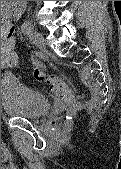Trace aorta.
Listing matches in <instances>:
<instances>
[{
  "mask_svg": "<svg viewBox=\"0 0 121 169\" xmlns=\"http://www.w3.org/2000/svg\"><path fill=\"white\" fill-rule=\"evenodd\" d=\"M26 7V1H1V10L9 13H21Z\"/></svg>",
  "mask_w": 121,
  "mask_h": 169,
  "instance_id": "1",
  "label": "aorta"
}]
</instances>
